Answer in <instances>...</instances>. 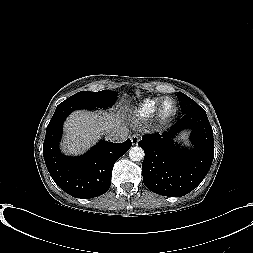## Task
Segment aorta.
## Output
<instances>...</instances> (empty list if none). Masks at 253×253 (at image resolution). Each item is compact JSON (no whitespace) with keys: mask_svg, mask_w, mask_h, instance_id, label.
<instances>
[{"mask_svg":"<svg viewBox=\"0 0 253 253\" xmlns=\"http://www.w3.org/2000/svg\"><path fill=\"white\" fill-rule=\"evenodd\" d=\"M145 156L144 150L139 146L131 147L129 150V157L132 161H141Z\"/></svg>","mask_w":253,"mask_h":253,"instance_id":"1","label":"aorta"}]
</instances>
